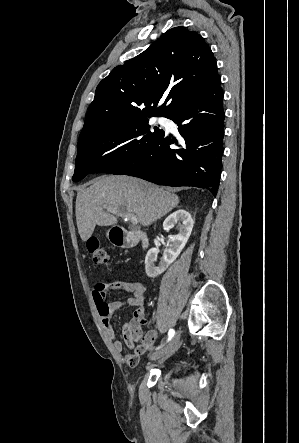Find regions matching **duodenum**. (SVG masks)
Listing matches in <instances>:
<instances>
[{
	"mask_svg": "<svg viewBox=\"0 0 299 443\" xmlns=\"http://www.w3.org/2000/svg\"><path fill=\"white\" fill-rule=\"evenodd\" d=\"M111 242L119 247H131L135 240L140 241L141 245L148 246V238L142 231H129L121 226H114L110 233Z\"/></svg>",
	"mask_w": 299,
	"mask_h": 443,
	"instance_id": "1",
	"label": "duodenum"
}]
</instances>
